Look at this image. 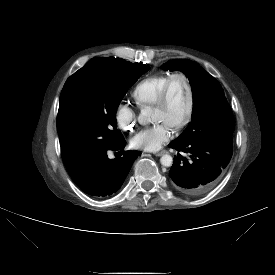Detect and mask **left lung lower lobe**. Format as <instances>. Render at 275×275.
I'll list each match as a JSON object with an SVG mask.
<instances>
[{
    "mask_svg": "<svg viewBox=\"0 0 275 275\" xmlns=\"http://www.w3.org/2000/svg\"><path fill=\"white\" fill-rule=\"evenodd\" d=\"M169 147L178 151L170 169L173 186L187 195H200L209 191L217 183L232 156V144L224 141H172Z\"/></svg>",
    "mask_w": 275,
    "mask_h": 275,
    "instance_id": "0a47b994",
    "label": "left lung lower lobe"
}]
</instances>
